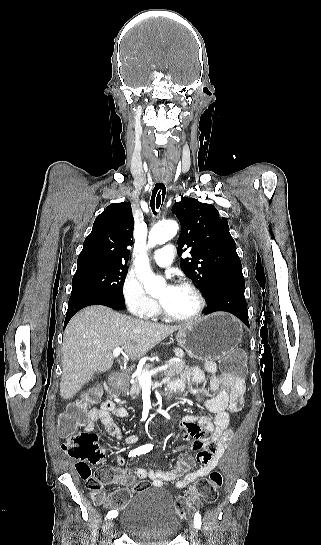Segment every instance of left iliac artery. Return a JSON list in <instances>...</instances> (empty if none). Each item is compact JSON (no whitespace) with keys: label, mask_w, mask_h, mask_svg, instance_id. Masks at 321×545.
<instances>
[{"label":"left iliac artery","mask_w":321,"mask_h":545,"mask_svg":"<svg viewBox=\"0 0 321 545\" xmlns=\"http://www.w3.org/2000/svg\"><path fill=\"white\" fill-rule=\"evenodd\" d=\"M194 524H195V527L196 528H200L201 527V515L199 512H197L194 516Z\"/></svg>","instance_id":"obj_1"}]
</instances>
